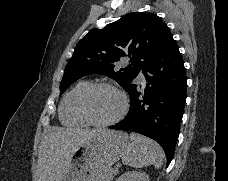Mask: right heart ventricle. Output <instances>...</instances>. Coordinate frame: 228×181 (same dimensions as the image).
<instances>
[{
  "mask_svg": "<svg viewBox=\"0 0 228 181\" xmlns=\"http://www.w3.org/2000/svg\"><path fill=\"white\" fill-rule=\"evenodd\" d=\"M88 85V81L78 82L64 99L60 116L65 125L78 127L86 125V122L78 114L77 101L80 94Z\"/></svg>",
  "mask_w": 228,
  "mask_h": 181,
  "instance_id": "e07e8e85",
  "label": "right heart ventricle"
}]
</instances>
